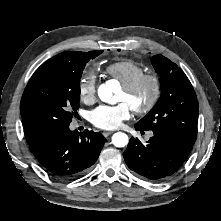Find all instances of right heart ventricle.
<instances>
[{
    "instance_id": "right-heart-ventricle-1",
    "label": "right heart ventricle",
    "mask_w": 221,
    "mask_h": 221,
    "mask_svg": "<svg viewBox=\"0 0 221 221\" xmlns=\"http://www.w3.org/2000/svg\"><path fill=\"white\" fill-rule=\"evenodd\" d=\"M105 72L121 85H124L144 74L145 69L132 60L124 59L109 64L105 68Z\"/></svg>"
}]
</instances>
